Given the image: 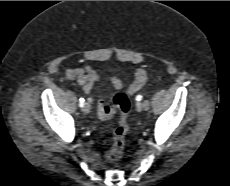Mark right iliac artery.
Segmentation results:
<instances>
[{
  "mask_svg": "<svg viewBox=\"0 0 230 186\" xmlns=\"http://www.w3.org/2000/svg\"><path fill=\"white\" fill-rule=\"evenodd\" d=\"M84 102H85L84 98H80V101H79L80 107L84 106Z\"/></svg>",
  "mask_w": 230,
  "mask_h": 186,
  "instance_id": "obj_1",
  "label": "right iliac artery"
}]
</instances>
